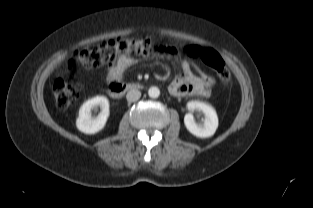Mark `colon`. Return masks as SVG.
<instances>
[{
  "instance_id": "5ec220e1",
  "label": "colon",
  "mask_w": 313,
  "mask_h": 208,
  "mask_svg": "<svg viewBox=\"0 0 313 208\" xmlns=\"http://www.w3.org/2000/svg\"><path fill=\"white\" fill-rule=\"evenodd\" d=\"M166 51V47L157 39L143 37L139 39H116L100 44L99 46H83L73 51L70 59V67L77 68L81 65L93 64L96 61L110 59L125 53L137 54H160ZM190 60H200L211 67L218 75L221 82L229 86L231 84L230 73L223 59L211 49L190 46L185 50ZM208 84L213 86V79L207 74L200 72ZM82 81L74 76L59 77L53 85V94L58 107L69 106L79 95Z\"/></svg>"
}]
</instances>
